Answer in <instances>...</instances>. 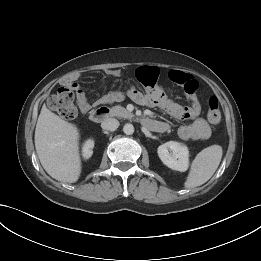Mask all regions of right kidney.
Masks as SVG:
<instances>
[{"instance_id": "1", "label": "right kidney", "mask_w": 261, "mask_h": 261, "mask_svg": "<svg viewBox=\"0 0 261 261\" xmlns=\"http://www.w3.org/2000/svg\"><path fill=\"white\" fill-rule=\"evenodd\" d=\"M93 147H94V141L93 140H87L85 142V144L83 145V150H82V153H83V157L85 159H89L91 156H92V153H93Z\"/></svg>"}]
</instances>
